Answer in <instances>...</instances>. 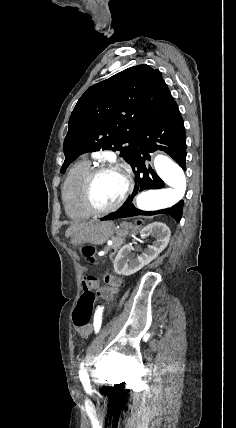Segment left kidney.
<instances>
[{"mask_svg":"<svg viewBox=\"0 0 236 428\" xmlns=\"http://www.w3.org/2000/svg\"><path fill=\"white\" fill-rule=\"evenodd\" d=\"M140 234L141 238H149V236H151V238H155L156 242H153V246H147L146 250H142V254L137 256V258L129 256L133 250L132 246L126 244V246L120 248L113 262L116 274L131 276V274L139 272L143 266L150 264L152 260L157 258L160 252H163L164 248L169 244L171 236L168 226L162 224V222L148 224V226H145V228L141 230Z\"/></svg>","mask_w":236,"mask_h":428,"instance_id":"obj_1","label":"left kidney"}]
</instances>
